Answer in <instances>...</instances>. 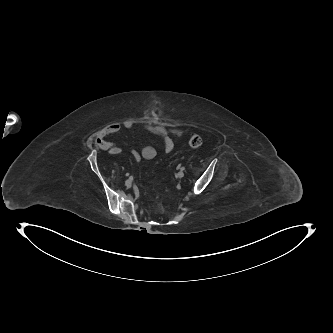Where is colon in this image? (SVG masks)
<instances>
[{
    "instance_id": "5ec220e1",
    "label": "colon",
    "mask_w": 333,
    "mask_h": 333,
    "mask_svg": "<svg viewBox=\"0 0 333 333\" xmlns=\"http://www.w3.org/2000/svg\"><path fill=\"white\" fill-rule=\"evenodd\" d=\"M201 144L202 138L196 133L191 134V136L189 137V145L192 148H198L201 146Z\"/></svg>"
}]
</instances>
